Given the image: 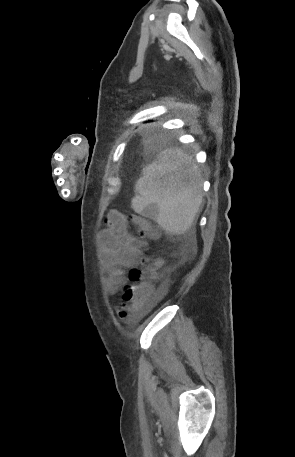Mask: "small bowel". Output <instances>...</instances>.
<instances>
[{
  "label": "small bowel",
  "instance_id": "small-bowel-1",
  "mask_svg": "<svg viewBox=\"0 0 295 457\" xmlns=\"http://www.w3.org/2000/svg\"><path fill=\"white\" fill-rule=\"evenodd\" d=\"M105 223L100 235L102 257L108 272V290L114 293L125 286V270L138 266L146 243L132 234L127 216L117 210L107 214ZM163 293L164 287H160L155 295Z\"/></svg>",
  "mask_w": 295,
  "mask_h": 457
}]
</instances>
